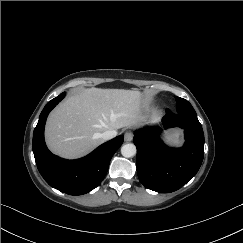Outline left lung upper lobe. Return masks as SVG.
<instances>
[{"instance_id":"5c2ea615","label":"left lung upper lobe","mask_w":243,"mask_h":243,"mask_svg":"<svg viewBox=\"0 0 243 243\" xmlns=\"http://www.w3.org/2000/svg\"><path fill=\"white\" fill-rule=\"evenodd\" d=\"M175 98L177 102L176 113L197 117L195 110L187 100L177 96H175Z\"/></svg>"}]
</instances>
